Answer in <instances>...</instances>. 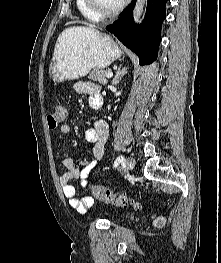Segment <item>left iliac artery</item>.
Returning a JSON list of instances; mask_svg holds the SVG:
<instances>
[{
  "label": "left iliac artery",
  "instance_id": "44dca946",
  "mask_svg": "<svg viewBox=\"0 0 221 263\" xmlns=\"http://www.w3.org/2000/svg\"><path fill=\"white\" fill-rule=\"evenodd\" d=\"M121 162H124V157L123 156L117 157V159L114 162V167H117Z\"/></svg>",
  "mask_w": 221,
  "mask_h": 263
}]
</instances>
